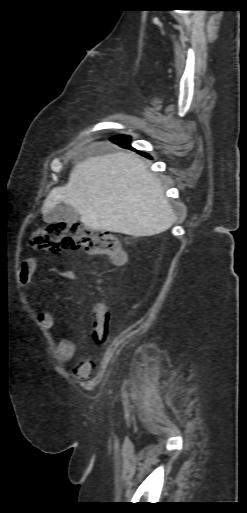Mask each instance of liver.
Returning a JSON list of instances; mask_svg holds the SVG:
<instances>
[{
	"label": "liver",
	"instance_id": "1",
	"mask_svg": "<svg viewBox=\"0 0 247 513\" xmlns=\"http://www.w3.org/2000/svg\"><path fill=\"white\" fill-rule=\"evenodd\" d=\"M65 203L93 230L144 237L159 234L175 221L164 189L134 152L119 151L77 164L67 184L53 188L42 207L45 216Z\"/></svg>",
	"mask_w": 247,
	"mask_h": 513
}]
</instances>
